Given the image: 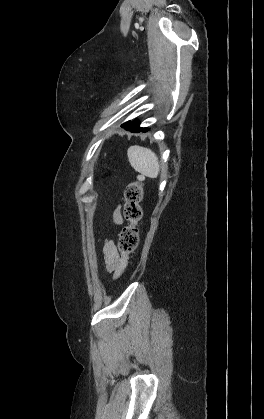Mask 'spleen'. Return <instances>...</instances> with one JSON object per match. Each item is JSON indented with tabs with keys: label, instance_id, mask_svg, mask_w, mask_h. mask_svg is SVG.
<instances>
[{
	"label": "spleen",
	"instance_id": "3e777b00",
	"mask_svg": "<svg viewBox=\"0 0 264 419\" xmlns=\"http://www.w3.org/2000/svg\"><path fill=\"white\" fill-rule=\"evenodd\" d=\"M131 166L139 173L149 178H157L159 162L152 150L142 146H131L127 151Z\"/></svg>",
	"mask_w": 264,
	"mask_h": 419
}]
</instances>
